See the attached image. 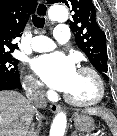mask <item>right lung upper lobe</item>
Segmentation results:
<instances>
[{
	"label": "right lung upper lobe",
	"mask_w": 117,
	"mask_h": 136,
	"mask_svg": "<svg viewBox=\"0 0 117 136\" xmlns=\"http://www.w3.org/2000/svg\"><path fill=\"white\" fill-rule=\"evenodd\" d=\"M36 5V0H0V55L11 54L18 49L12 41L22 35Z\"/></svg>",
	"instance_id": "1"
}]
</instances>
